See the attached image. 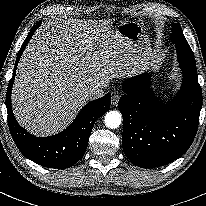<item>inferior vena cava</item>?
<instances>
[{
	"label": "inferior vena cava",
	"instance_id": "obj_1",
	"mask_svg": "<svg viewBox=\"0 0 206 206\" xmlns=\"http://www.w3.org/2000/svg\"><path fill=\"white\" fill-rule=\"evenodd\" d=\"M104 96V90L100 87H92L88 90V97L90 99H97Z\"/></svg>",
	"mask_w": 206,
	"mask_h": 206
}]
</instances>
